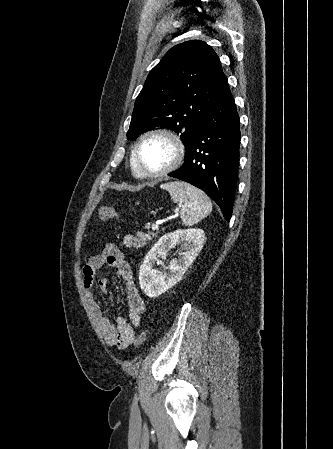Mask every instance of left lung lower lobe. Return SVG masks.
Listing matches in <instances>:
<instances>
[{
	"label": "left lung lower lobe",
	"instance_id": "1",
	"mask_svg": "<svg viewBox=\"0 0 333 449\" xmlns=\"http://www.w3.org/2000/svg\"><path fill=\"white\" fill-rule=\"evenodd\" d=\"M240 123L228 83L196 129L182 167L169 176L203 190L229 222L238 177Z\"/></svg>",
	"mask_w": 333,
	"mask_h": 449
}]
</instances>
